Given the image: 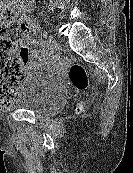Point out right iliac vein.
I'll return each instance as SVG.
<instances>
[{
	"instance_id": "obj_1",
	"label": "right iliac vein",
	"mask_w": 133,
	"mask_h": 173,
	"mask_svg": "<svg viewBox=\"0 0 133 173\" xmlns=\"http://www.w3.org/2000/svg\"><path fill=\"white\" fill-rule=\"evenodd\" d=\"M57 48V43L55 41V39L53 38V36H49V44H48V47H47V55L50 56L54 53V51L56 50Z\"/></svg>"
}]
</instances>
